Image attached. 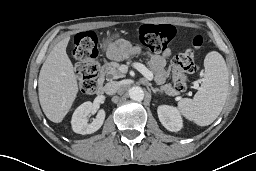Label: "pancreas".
Segmentation results:
<instances>
[{"mask_svg": "<svg viewBox=\"0 0 256 171\" xmlns=\"http://www.w3.org/2000/svg\"><path fill=\"white\" fill-rule=\"evenodd\" d=\"M120 66L121 65L117 62H111L109 64V66L105 69L103 74L108 79L123 78V77H125V74L120 71ZM153 73L155 74V78L157 81H159L160 83L165 82L167 73L164 69H155L153 71ZM161 90L165 91V93L167 95H176L177 94L176 89L170 83L161 86Z\"/></svg>", "mask_w": 256, "mask_h": 171, "instance_id": "pancreas-1", "label": "pancreas"}]
</instances>
